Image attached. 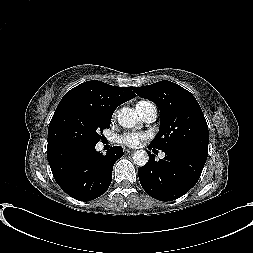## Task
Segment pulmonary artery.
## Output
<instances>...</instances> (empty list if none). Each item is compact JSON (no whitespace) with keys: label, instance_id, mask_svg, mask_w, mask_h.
Here are the masks:
<instances>
[{"label":"pulmonary artery","instance_id":"1","mask_svg":"<svg viewBox=\"0 0 253 253\" xmlns=\"http://www.w3.org/2000/svg\"><path fill=\"white\" fill-rule=\"evenodd\" d=\"M136 111L141 119L147 123H152L157 119L158 109L157 106L149 101H141L136 104ZM164 157V154H161Z\"/></svg>","mask_w":253,"mask_h":253}]
</instances>
